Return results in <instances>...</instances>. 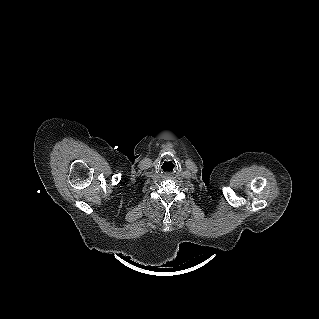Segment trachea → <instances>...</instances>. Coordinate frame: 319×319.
<instances>
[{
    "label": "trachea",
    "instance_id": "obj_1",
    "mask_svg": "<svg viewBox=\"0 0 319 319\" xmlns=\"http://www.w3.org/2000/svg\"><path fill=\"white\" fill-rule=\"evenodd\" d=\"M173 168H174V165H173V163L171 161L164 162L163 165H162V169L165 172H171V171H173Z\"/></svg>",
    "mask_w": 319,
    "mask_h": 319
}]
</instances>
